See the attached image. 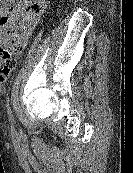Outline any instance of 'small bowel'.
<instances>
[{"instance_id":"1","label":"small bowel","mask_w":133,"mask_h":173,"mask_svg":"<svg viewBox=\"0 0 133 173\" xmlns=\"http://www.w3.org/2000/svg\"><path fill=\"white\" fill-rule=\"evenodd\" d=\"M0 0V45L12 46L21 55L43 14L47 0Z\"/></svg>"}]
</instances>
